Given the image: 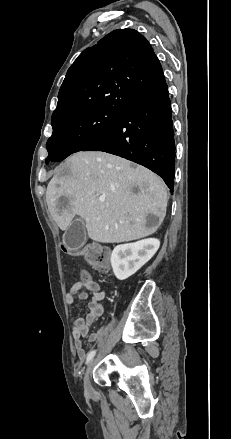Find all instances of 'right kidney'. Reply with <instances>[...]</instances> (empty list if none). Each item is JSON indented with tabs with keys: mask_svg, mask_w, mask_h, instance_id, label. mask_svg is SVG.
<instances>
[{
	"mask_svg": "<svg viewBox=\"0 0 231 439\" xmlns=\"http://www.w3.org/2000/svg\"><path fill=\"white\" fill-rule=\"evenodd\" d=\"M159 246L160 241L155 238L116 246L110 259L116 278L125 280L132 276L153 257Z\"/></svg>",
	"mask_w": 231,
	"mask_h": 439,
	"instance_id": "obj_1",
	"label": "right kidney"
}]
</instances>
